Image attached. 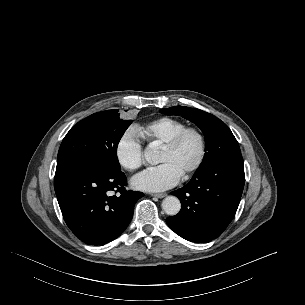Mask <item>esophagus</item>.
<instances>
[{
  "label": "esophagus",
  "instance_id": "esophagus-1",
  "mask_svg": "<svg viewBox=\"0 0 305 305\" xmlns=\"http://www.w3.org/2000/svg\"><path fill=\"white\" fill-rule=\"evenodd\" d=\"M152 197H156V198H164L167 196L166 193H159V194H151Z\"/></svg>",
  "mask_w": 305,
  "mask_h": 305
}]
</instances>
